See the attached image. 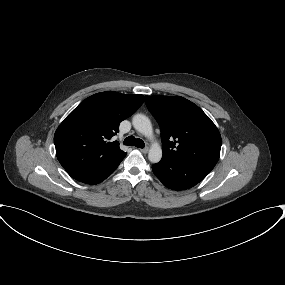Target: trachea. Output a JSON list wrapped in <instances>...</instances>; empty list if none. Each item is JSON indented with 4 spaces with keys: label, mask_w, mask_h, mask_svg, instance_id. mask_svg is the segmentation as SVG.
<instances>
[{
    "label": "trachea",
    "mask_w": 285,
    "mask_h": 285,
    "mask_svg": "<svg viewBox=\"0 0 285 285\" xmlns=\"http://www.w3.org/2000/svg\"><path fill=\"white\" fill-rule=\"evenodd\" d=\"M124 145L136 146L138 148H144V141L140 138H135L134 136H129L124 140Z\"/></svg>",
    "instance_id": "trachea-1"
}]
</instances>
